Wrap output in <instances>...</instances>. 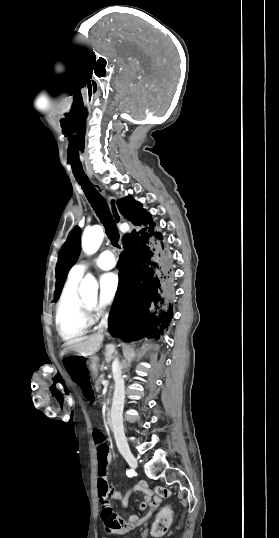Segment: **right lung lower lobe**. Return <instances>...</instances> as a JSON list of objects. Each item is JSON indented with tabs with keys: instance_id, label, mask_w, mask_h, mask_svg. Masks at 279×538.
Returning a JSON list of instances; mask_svg holds the SVG:
<instances>
[{
	"instance_id": "obj_1",
	"label": "right lung lower lobe",
	"mask_w": 279,
	"mask_h": 538,
	"mask_svg": "<svg viewBox=\"0 0 279 538\" xmlns=\"http://www.w3.org/2000/svg\"><path fill=\"white\" fill-rule=\"evenodd\" d=\"M117 205L134 229L123 236L120 282L110 310L109 331L127 340L145 335L158 338L173 316L175 280L170 252L141 203L128 196Z\"/></svg>"
}]
</instances>
